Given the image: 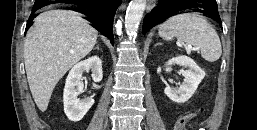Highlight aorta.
<instances>
[{
    "label": "aorta",
    "instance_id": "762f6f07",
    "mask_svg": "<svg viewBox=\"0 0 257 130\" xmlns=\"http://www.w3.org/2000/svg\"><path fill=\"white\" fill-rule=\"evenodd\" d=\"M145 8L146 0H131L125 16V28L129 39L137 35Z\"/></svg>",
    "mask_w": 257,
    "mask_h": 130
}]
</instances>
